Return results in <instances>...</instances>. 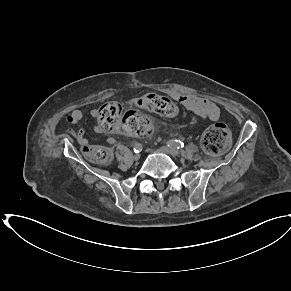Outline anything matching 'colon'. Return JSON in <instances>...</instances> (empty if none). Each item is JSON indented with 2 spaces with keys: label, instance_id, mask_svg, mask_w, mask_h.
Segmentation results:
<instances>
[{
  "label": "colon",
  "instance_id": "obj_1",
  "mask_svg": "<svg viewBox=\"0 0 291 291\" xmlns=\"http://www.w3.org/2000/svg\"><path fill=\"white\" fill-rule=\"evenodd\" d=\"M142 110L163 116L177 113L176 105L167 97L157 93H145L135 100ZM99 130L104 132H127L139 137L145 136L150 129L148 117L138 110L124 111L121 103L112 101L104 104L98 111ZM202 146L206 152L217 155L228 149L231 142L229 128L223 123L209 127L202 136ZM83 153L89 159L106 164L111 160L110 149L103 146L85 145Z\"/></svg>",
  "mask_w": 291,
  "mask_h": 291
}]
</instances>
